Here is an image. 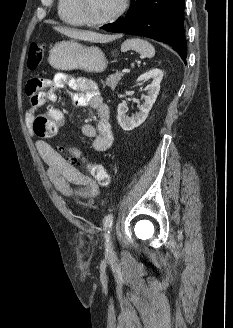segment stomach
<instances>
[{
	"label": "stomach",
	"mask_w": 233,
	"mask_h": 328,
	"mask_svg": "<svg viewBox=\"0 0 233 328\" xmlns=\"http://www.w3.org/2000/svg\"><path fill=\"white\" fill-rule=\"evenodd\" d=\"M48 61L58 70L81 69L94 73L103 72L107 65L105 56L98 47H87L76 41L56 43L49 53Z\"/></svg>",
	"instance_id": "stomach-1"
}]
</instances>
